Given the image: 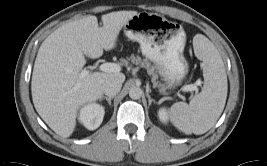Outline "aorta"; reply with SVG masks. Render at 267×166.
Returning a JSON list of instances; mask_svg holds the SVG:
<instances>
[{
    "label": "aorta",
    "mask_w": 267,
    "mask_h": 166,
    "mask_svg": "<svg viewBox=\"0 0 267 166\" xmlns=\"http://www.w3.org/2000/svg\"><path fill=\"white\" fill-rule=\"evenodd\" d=\"M143 92L141 90V88L139 87H132L130 90H129V97L131 99H140L141 96H142Z\"/></svg>",
    "instance_id": "1"
}]
</instances>
